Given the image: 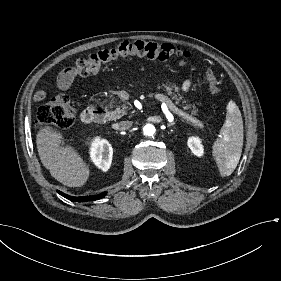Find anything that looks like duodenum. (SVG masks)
Returning a JSON list of instances; mask_svg holds the SVG:
<instances>
[{
  "label": "duodenum",
  "instance_id": "1",
  "mask_svg": "<svg viewBox=\"0 0 281 281\" xmlns=\"http://www.w3.org/2000/svg\"><path fill=\"white\" fill-rule=\"evenodd\" d=\"M104 115V106L102 104L92 108L85 109L81 114V120L85 124H90L100 120Z\"/></svg>",
  "mask_w": 281,
  "mask_h": 281
}]
</instances>
